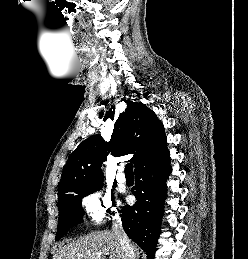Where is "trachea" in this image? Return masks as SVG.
<instances>
[{
  "instance_id": "3493384b",
  "label": "trachea",
  "mask_w": 248,
  "mask_h": 259,
  "mask_svg": "<svg viewBox=\"0 0 248 259\" xmlns=\"http://www.w3.org/2000/svg\"><path fill=\"white\" fill-rule=\"evenodd\" d=\"M125 174L126 175H133V164L128 163L125 167Z\"/></svg>"
}]
</instances>
